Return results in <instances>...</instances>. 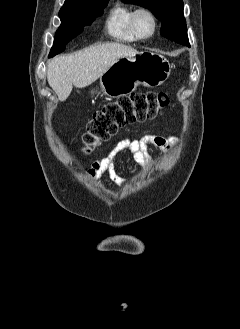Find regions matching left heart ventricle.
Returning a JSON list of instances; mask_svg holds the SVG:
<instances>
[{
    "label": "left heart ventricle",
    "mask_w": 240,
    "mask_h": 329,
    "mask_svg": "<svg viewBox=\"0 0 240 329\" xmlns=\"http://www.w3.org/2000/svg\"><path fill=\"white\" fill-rule=\"evenodd\" d=\"M137 28L141 34L147 35L152 30V22L147 16L142 15L137 21Z\"/></svg>",
    "instance_id": "b2bd125f"
}]
</instances>
